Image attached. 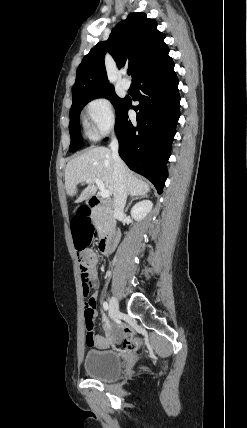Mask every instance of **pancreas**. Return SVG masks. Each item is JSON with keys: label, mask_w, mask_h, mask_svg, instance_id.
<instances>
[{"label": "pancreas", "mask_w": 247, "mask_h": 428, "mask_svg": "<svg viewBox=\"0 0 247 428\" xmlns=\"http://www.w3.org/2000/svg\"><path fill=\"white\" fill-rule=\"evenodd\" d=\"M93 221L100 233L105 232L111 225L110 215L101 208H95L93 212Z\"/></svg>", "instance_id": "1"}]
</instances>
